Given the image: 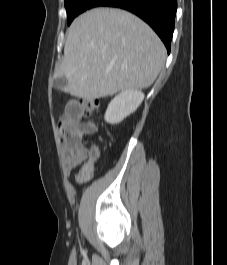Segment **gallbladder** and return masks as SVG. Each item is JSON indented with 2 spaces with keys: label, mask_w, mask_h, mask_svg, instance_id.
I'll list each match as a JSON object with an SVG mask.
<instances>
[{
  "label": "gallbladder",
  "mask_w": 227,
  "mask_h": 265,
  "mask_svg": "<svg viewBox=\"0 0 227 265\" xmlns=\"http://www.w3.org/2000/svg\"><path fill=\"white\" fill-rule=\"evenodd\" d=\"M53 85L56 89H62L67 85V79L65 76H61L58 78H55L53 81Z\"/></svg>",
  "instance_id": "obj_1"
}]
</instances>
